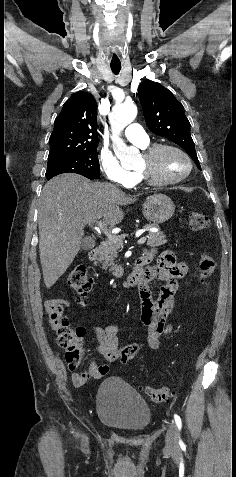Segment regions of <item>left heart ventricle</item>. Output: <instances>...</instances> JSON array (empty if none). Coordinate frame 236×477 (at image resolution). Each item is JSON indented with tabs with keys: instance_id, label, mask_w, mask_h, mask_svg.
Segmentation results:
<instances>
[{
	"instance_id": "left-heart-ventricle-1",
	"label": "left heart ventricle",
	"mask_w": 236,
	"mask_h": 477,
	"mask_svg": "<svg viewBox=\"0 0 236 477\" xmlns=\"http://www.w3.org/2000/svg\"><path fill=\"white\" fill-rule=\"evenodd\" d=\"M150 167L153 176L159 180H167L181 176L187 169L186 160L174 151L161 153L149 166L143 156L137 168Z\"/></svg>"
}]
</instances>
